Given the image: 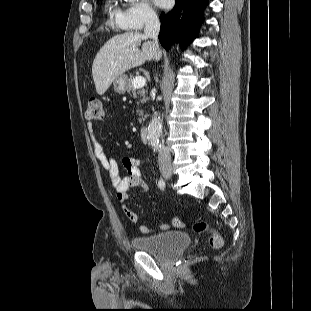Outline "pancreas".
I'll use <instances>...</instances> for the list:
<instances>
[{
  "mask_svg": "<svg viewBox=\"0 0 311 311\" xmlns=\"http://www.w3.org/2000/svg\"><path fill=\"white\" fill-rule=\"evenodd\" d=\"M133 77H130L128 80H127V92L128 93H132L133 97L134 98H137V97H140V102L141 103H145L147 100H148V97H146V94H147V91L143 88V89H136L133 87ZM139 104V103H138ZM139 112V122L141 123L142 121H144V118H143V115H144V112L141 110V111H138Z\"/></svg>",
  "mask_w": 311,
  "mask_h": 311,
  "instance_id": "cf45deb5",
  "label": "pancreas"
}]
</instances>
